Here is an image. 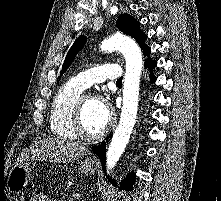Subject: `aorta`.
Wrapping results in <instances>:
<instances>
[{
    "label": "aorta",
    "mask_w": 221,
    "mask_h": 201,
    "mask_svg": "<svg viewBox=\"0 0 221 201\" xmlns=\"http://www.w3.org/2000/svg\"><path fill=\"white\" fill-rule=\"evenodd\" d=\"M100 48L106 52L118 50L126 60L121 117L106 154V167L109 172L123 154L136 122L143 60L141 50L135 41L122 34H114L105 39Z\"/></svg>",
    "instance_id": "1"
}]
</instances>
